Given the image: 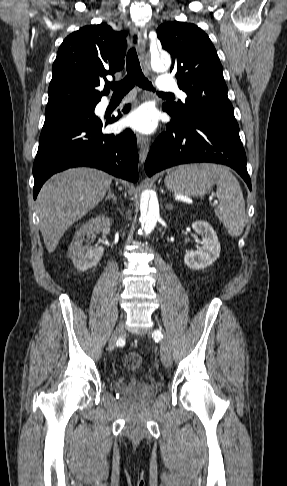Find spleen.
<instances>
[{"instance_id": "obj_1", "label": "spleen", "mask_w": 287, "mask_h": 486, "mask_svg": "<svg viewBox=\"0 0 287 486\" xmlns=\"http://www.w3.org/2000/svg\"><path fill=\"white\" fill-rule=\"evenodd\" d=\"M204 167L218 175V205L214 212L232 237L242 234L246 225L245 200L236 177L230 170L215 164H204Z\"/></svg>"}]
</instances>
